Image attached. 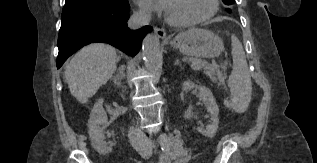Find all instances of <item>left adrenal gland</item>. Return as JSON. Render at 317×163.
<instances>
[{
    "label": "left adrenal gland",
    "mask_w": 317,
    "mask_h": 163,
    "mask_svg": "<svg viewBox=\"0 0 317 163\" xmlns=\"http://www.w3.org/2000/svg\"><path fill=\"white\" fill-rule=\"evenodd\" d=\"M178 64H180V63H179V60L177 59V60L175 61V65H178Z\"/></svg>",
    "instance_id": "1"
}]
</instances>
